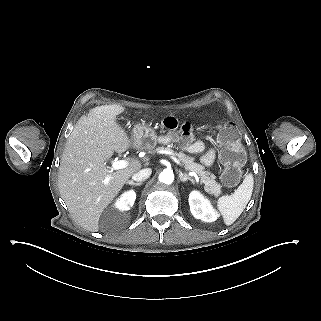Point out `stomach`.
<instances>
[{
	"mask_svg": "<svg viewBox=\"0 0 321 321\" xmlns=\"http://www.w3.org/2000/svg\"><path fill=\"white\" fill-rule=\"evenodd\" d=\"M214 114L210 119H214ZM157 133L150 123L141 122L133 128L132 142L133 147L144 150H153L158 144Z\"/></svg>",
	"mask_w": 321,
	"mask_h": 321,
	"instance_id": "stomach-1",
	"label": "stomach"
}]
</instances>
